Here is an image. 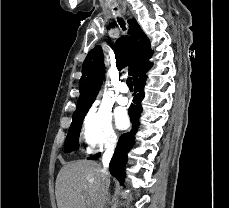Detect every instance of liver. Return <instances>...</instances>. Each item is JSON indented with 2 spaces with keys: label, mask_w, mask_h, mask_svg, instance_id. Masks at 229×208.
Here are the masks:
<instances>
[{
  "label": "liver",
  "mask_w": 229,
  "mask_h": 208,
  "mask_svg": "<svg viewBox=\"0 0 229 208\" xmlns=\"http://www.w3.org/2000/svg\"><path fill=\"white\" fill-rule=\"evenodd\" d=\"M99 164L76 160L61 168L56 180L58 208H100L101 186L106 182Z\"/></svg>",
  "instance_id": "obj_1"
}]
</instances>
